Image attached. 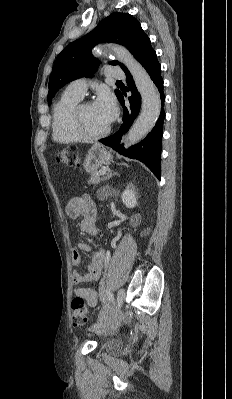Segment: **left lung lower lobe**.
Returning <instances> with one entry per match:
<instances>
[{
    "label": "left lung lower lobe",
    "mask_w": 232,
    "mask_h": 399,
    "mask_svg": "<svg viewBox=\"0 0 232 399\" xmlns=\"http://www.w3.org/2000/svg\"><path fill=\"white\" fill-rule=\"evenodd\" d=\"M142 66L146 69L154 84L159 90L161 95V102L164 105L165 95L163 93V79L161 77V65L157 60L156 52L151 47L150 41L137 53L135 57ZM126 82L128 87L127 91H131L132 95L128 98L130 107H124L125 101L121 94L118 98L119 102L124 107L123 112V123L114 135L99 140L104 145L110 146L118 153L143 162L160 180V160H161V149H162V131H163V120L165 118L164 109L161 108V113L158 122L153 127L152 131L147 137L140 143L125 149L123 145H120L121 136L125 134L134 120L137 118L140 106H141V95L137 91L134 84L133 78L129 71L125 72Z\"/></svg>",
    "instance_id": "1"
}]
</instances>
